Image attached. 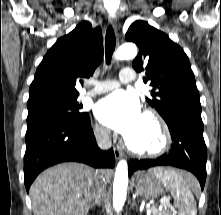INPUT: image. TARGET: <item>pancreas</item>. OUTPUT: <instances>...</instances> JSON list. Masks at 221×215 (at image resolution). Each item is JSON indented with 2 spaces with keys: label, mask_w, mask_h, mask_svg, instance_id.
<instances>
[{
  "label": "pancreas",
  "mask_w": 221,
  "mask_h": 215,
  "mask_svg": "<svg viewBox=\"0 0 221 215\" xmlns=\"http://www.w3.org/2000/svg\"><path fill=\"white\" fill-rule=\"evenodd\" d=\"M149 210H151L153 215H171L168 210H158L155 207L149 208Z\"/></svg>",
  "instance_id": "pancreas-1"
}]
</instances>
